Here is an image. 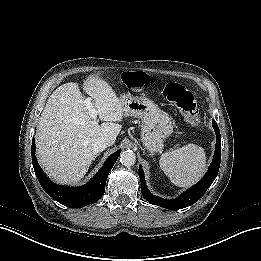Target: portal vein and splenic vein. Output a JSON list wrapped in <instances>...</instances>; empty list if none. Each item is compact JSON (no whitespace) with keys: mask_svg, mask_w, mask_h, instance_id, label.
I'll use <instances>...</instances> for the list:
<instances>
[{"mask_svg":"<svg viewBox=\"0 0 261 261\" xmlns=\"http://www.w3.org/2000/svg\"><path fill=\"white\" fill-rule=\"evenodd\" d=\"M85 104L86 107L88 108L89 112L91 113V116L95 119L97 117L98 111L94 108L91 98H86L85 99Z\"/></svg>","mask_w":261,"mask_h":261,"instance_id":"18ae733b","label":"portal vein and splenic vein"}]
</instances>
